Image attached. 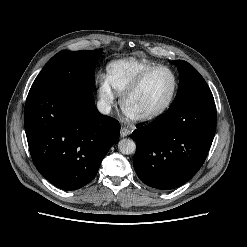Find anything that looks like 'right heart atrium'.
<instances>
[{"mask_svg": "<svg viewBox=\"0 0 247 247\" xmlns=\"http://www.w3.org/2000/svg\"><path fill=\"white\" fill-rule=\"evenodd\" d=\"M98 96L106 106H110L115 100L114 90L104 76H100L99 78Z\"/></svg>", "mask_w": 247, "mask_h": 247, "instance_id": "right-heart-atrium-1", "label": "right heart atrium"}]
</instances>
